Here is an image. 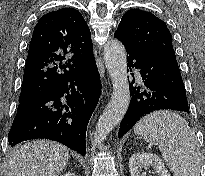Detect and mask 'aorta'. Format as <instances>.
I'll return each instance as SVG.
<instances>
[{"label":"aorta","mask_w":205,"mask_h":176,"mask_svg":"<svg viewBox=\"0 0 205 176\" xmlns=\"http://www.w3.org/2000/svg\"><path fill=\"white\" fill-rule=\"evenodd\" d=\"M104 60L113 84V94L96 125L94 137L98 144L120 123L130 103L127 57L123 44L118 40L107 42Z\"/></svg>","instance_id":"obj_1"}]
</instances>
